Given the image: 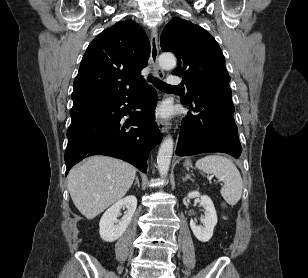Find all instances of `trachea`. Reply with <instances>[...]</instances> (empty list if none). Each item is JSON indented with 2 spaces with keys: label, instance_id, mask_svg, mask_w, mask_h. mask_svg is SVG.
<instances>
[{
  "label": "trachea",
  "instance_id": "1",
  "mask_svg": "<svg viewBox=\"0 0 308 278\" xmlns=\"http://www.w3.org/2000/svg\"><path fill=\"white\" fill-rule=\"evenodd\" d=\"M149 81L153 83V85L161 90V91H167V90H176V89H179L180 87L179 86H171V85H168L166 84L165 82L159 80L158 78L156 77H153V76H149L148 77Z\"/></svg>",
  "mask_w": 308,
  "mask_h": 278
}]
</instances>
